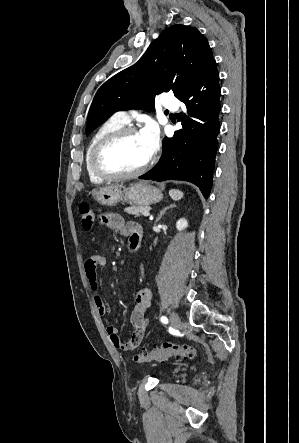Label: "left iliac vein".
<instances>
[{
    "mask_svg": "<svg viewBox=\"0 0 299 443\" xmlns=\"http://www.w3.org/2000/svg\"><path fill=\"white\" fill-rule=\"evenodd\" d=\"M170 323L174 329L179 330L182 328V323H181L180 317L175 312H172L170 314Z\"/></svg>",
    "mask_w": 299,
    "mask_h": 443,
    "instance_id": "left-iliac-vein-1",
    "label": "left iliac vein"
}]
</instances>
